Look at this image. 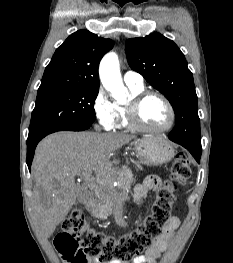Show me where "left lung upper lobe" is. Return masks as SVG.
I'll return each instance as SVG.
<instances>
[{
	"label": "left lung upper lobe",
	"instance_id": "obj_1",
	"mask_svg": "<svg viewBox=\"0 0 233 263\" xmlns=\"http://www.w3.org/2000/svg\"><path fill=\"white\" fill-rule=\"evenodd\" d=\"M130 67L170 101L175 127L169 138L201 149L200 119L193 75L178 46L160 33L127 40Z\"/></svg>",
	"mask_w": 233,
	"mask_h": 263
}]
</instances>
